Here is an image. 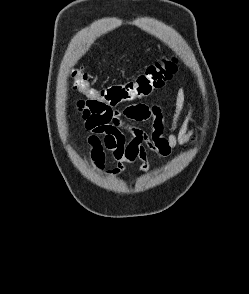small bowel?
<instances>
[{"instance_id":"obj_1","label":"small bowel","mask_w":249,"mask_h":294,"mask_svg":"<svg viewBox=\"0 0 249 294\" xmlns=\"http://www.w3.org/2000/svg\"><path fill=\"white\" fill-rule=\"evenodd\" d=\"M185 105L188 107L187 113L180 122ZM78 107L90 131L87 137L89 161L107 178L121 177L126 172L125 165L134 161L140 162L138 172L146 173L149 170L148 152L163 160L177 148L192 144L195 140L196 129L192 127L195 110L183 89L177 91L168 126L158 104H121L111 107L81 101ZM145 123H150V134L142 128ZM106 153L113 162V166L107 170Z\"/></svg>"}]
</instances>
